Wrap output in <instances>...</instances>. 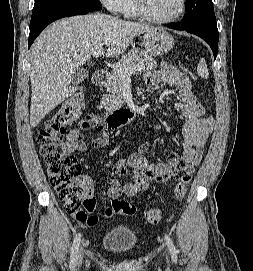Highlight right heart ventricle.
<instances>
[{
	"label": "right heart ventricle",
	"instance_id": "right-heart-ventricle-1",
	"mask_svg": "<svg viewBox=\"0 0 253 271\" xmlns=\"http://www.w3.org/2000/svg\"><path fill=\"white\" fill-rule=\"evenodd\" d=\"M121 12L128 18H135L139 15L134 0H126Z\"/></svg>",
	"mask_w": 253,
	"mask_h": 271
}]
</instances>
